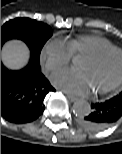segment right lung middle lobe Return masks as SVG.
I'll return each instance as SVG.
<instances>
[{
	"label": "right lung middle lobe",
	"mask_w": 122,
	"mask_h": 154,
	"mask_svg": "<svg viewBox=\"0 0 122 154\" xmlns=\"http://www.w3.org/2000/svg\"><path fill=\"white\" fill-rule=\"evenodd\" d=\"M51 36L50 26L29 18H16L1 27V45L12 38L21 39L30 47L31 56L37 62L45 42Z\"/></svg>",
	"instance_id": "obj_1"
}]
</instances>
